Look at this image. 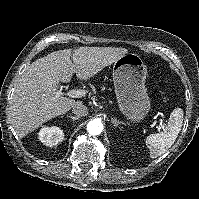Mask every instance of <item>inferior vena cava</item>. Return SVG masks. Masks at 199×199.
Returning <instances> with one entry per match:
<instances>
[{"label": "inferior vena cava", "mask_w": 199, "mask_h": 199, "mask_svg": "<svg viewBox=\"0 0 199 199\" xmlns=\"http://www.w3.org/2000/svg\"><path fill=\"white\" fill-rule=\"evenodd\" d=\"M72 112L79 116H86L88 114V108L83 105L82 102H76V104L72 107Z\"/></svg>", "instance_id": "inferior-vena-cava-1"}]
</instances>
